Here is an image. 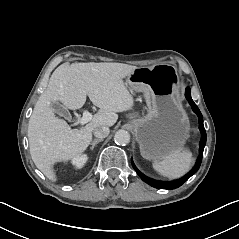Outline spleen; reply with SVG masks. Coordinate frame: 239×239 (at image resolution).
Instances as JSON below:
<instances>
[{"label":"spleen","instance_id":"spleen-1","mask_svg":"<svg viewBox=\"0 0 239 239\" xmlns=\"http://www.w3.org/2000/svg\"><path fill=\"white\" fill-rule=\"evenodd\" d=\"M195 159L189 151L169 155L160 162H155L153 168L162 176L177 179L184 176L194 165Z\"/></svg>","mask_w":239,"mask_h":239}]
</instances>
